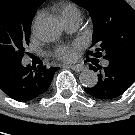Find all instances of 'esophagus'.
<instances>
[{"label": "esophagus", "mask_w": 135, "mask_h": 135, "mask_svg": "<svg viewBox=\"0 0 135 135\" xmlns=\"http://www.w3.org/2000/svg\"><path fill=\"white\" fill-rule=\"evenodd\" d=\"M70 68H71L72 70H74V71L79 72V71L84 70L85 67H84L83 65H73V66H70Z\"/></svg>", "instance_id": "34e87169"}]
</instances>
